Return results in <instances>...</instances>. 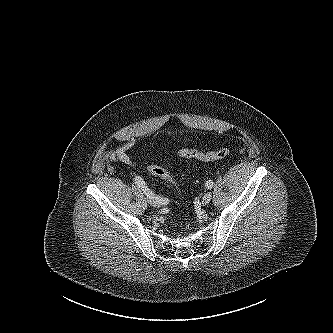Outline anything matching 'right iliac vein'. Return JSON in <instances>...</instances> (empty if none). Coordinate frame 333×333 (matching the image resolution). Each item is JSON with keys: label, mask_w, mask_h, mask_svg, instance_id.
<instances>
[{"label": "right iliac vein", "mask_w": 333, "mask_h": 333, "mask_svg": "<svg viewBox=\"0 0 333 333\" xmlns=\"http://www.w3.org/2000/svg\"><path fill=\"white\" fill-rule=\"evenodd\" d=\"M147 198H148V202L154 207H160L162 205V204L158 203L155 199H152L149 197H147Z\"/></svg>", "instance_id": "63e3f726"}]
</instances>
